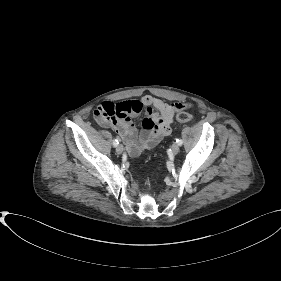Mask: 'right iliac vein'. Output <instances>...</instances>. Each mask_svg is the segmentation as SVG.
<instances>
[{
    "mask_svg": "<svg viewBox=\"0 0 281 281\" xmlns=\"http://www.w3.org/2000/svg\"><path fill=\"white\" fill-rule=\"evenodd\" d=\"M124 148H123V145L119 144L116 146V152L118 154H121L123 152Z\"/></svg>",
    "mask_w": 281,
    "mask_h": 281,
    "instance_id": "obj_1",
    "label": "right iliac vein"
}]
</instances>
